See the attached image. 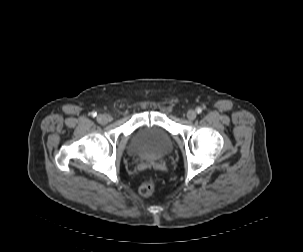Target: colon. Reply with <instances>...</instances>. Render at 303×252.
Returning <instances> with one entry per match:
<instances>
[{
    "instance_id": "obj_1",
    "label": "colon",
    "mask_w": 303,
    "mask_h": 252,
    "mask_svg": "<svg viewBox=\"0 0 303 252\" xmlns=\"http://www.w3.org/2000/svg\"><path fill=\"white\" fill-rule=\"evenodd\" d=\"M156 189V182L154 179L149 178L145 182H143L140 186V193L141 195L148 197L151 196Z\"/></svg>"
}]
</instances>
